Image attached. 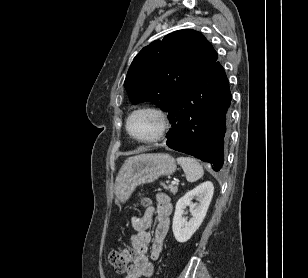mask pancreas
<instances>
[{
  "instance_id": "obj_1",
  "label": "pancreas",
  "mask_w": 308,
  "mask_h": 278,
  "mask_svg": "<svg viewBox=\"0 0 308 278\" xmlns=\"http://www.w3.org/2000/svg\"><path fill=\"white\" fill-rule=\"evenodd\" d=\"M161 186L165 189L171 192L172 194H176L178 189L176 186L173 185H166L165 183H161Z\"/></svg>"
}]
</instances>
